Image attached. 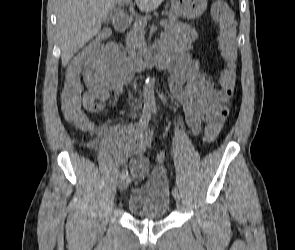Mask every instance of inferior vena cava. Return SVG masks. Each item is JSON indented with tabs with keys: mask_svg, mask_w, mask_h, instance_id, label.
Listing matches in <instances>:
<instances>
[{
	"mask_svg": "<svg viewBox=\"0 0 295 250\" xmlns=\"http://www.w3.org/2000/svg\"><path fill=\"white\" fill-rule=\"evenodd\" d=\"M135 103H136V108H134V110H140L141 109V104H137V99L135 100Z\"/></svg>",
	"mask_w": 295,
	"mask_h": 250,
	"instance_id": "inferior-vena-cava-1",
	"label": "inferior vena cava"
}]
</instances>
